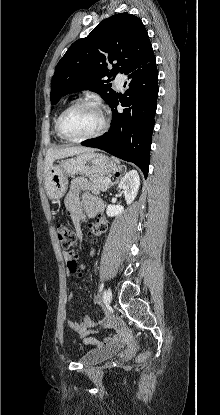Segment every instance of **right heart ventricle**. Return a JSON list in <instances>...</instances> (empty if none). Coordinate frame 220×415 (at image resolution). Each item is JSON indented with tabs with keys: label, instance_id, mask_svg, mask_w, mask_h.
<instances>
[{
	"label": "right heart ventricle",
	"instance_id": "1",
	"mask_svg": "<svg viewBox=\"0 0 220 415\" xmlns=\"http://www.w3.org/2000/svg\"><path fill=\"white\" fill-rule=\"evenodd\" d=\"M58 119V118H57ZM57 119H56V121H55V127H56V122H57ZM55 130H56V128H55Z\"/></svg>",
	"mask_w": 220,
	"mask_h": 415
}]
</instances>
